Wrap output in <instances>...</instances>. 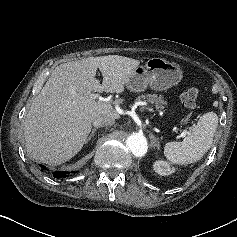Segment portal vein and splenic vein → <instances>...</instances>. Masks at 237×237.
<instances>
[{
  "instance_id": "18ae733b",
  "label": "portal vein and splenic vein",
  "mask_w": 237,
  "mask_h": 237,
  "mask_svg": "<svg viewBox=\"0 0 237 237\" xmlns=\"http://www.w3.org/2000/svg\"><path fill=\"white\" fill-rule=\"evenodd\" d=\"M91 98H93V99H98L99 98L100 99L101 97H100V95L98 93H95V94H91ZM187 134H189V132L184 130L182 132L181 136L185 137Z\"/></svg>"
}]
</instances>
